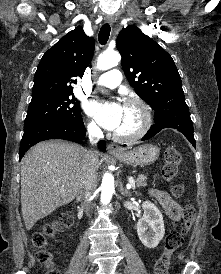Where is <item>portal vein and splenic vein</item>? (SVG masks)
<instances>
[{"mask_svg":"<svg viewBox=\"0 0 221 274\" xmlns=\"http://www.w3.org/2000/svg\"><path fill=\"white\" fill-rule=\"evenodd\" d=\"M129 186L135 189V181L133 180V178L129 179Z\"/></svg>","mask_w":221,"mask_h":274,"instance_id":"portal-vein-and-splenic-vein-1","label":"portal vein and splenic vein"}]
</instances>
